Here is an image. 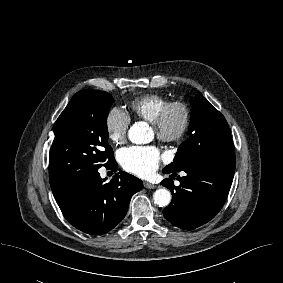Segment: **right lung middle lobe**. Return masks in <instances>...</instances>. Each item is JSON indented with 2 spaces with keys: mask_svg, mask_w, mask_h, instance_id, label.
Returning <instances> with one entry per match:
<instances>
[{
  "mask_svg": "<svg viewBox=\"0 0 283 283\" xmlns=\"http://www.w3.org/2000/svg\"><path fill=\"white\" fill-rule=\"evenodd\" d=\"M113 97L103 91L77 92L54 124L50 185L98 170L114 159L108 142L107 115Z\"/></svg>",
  "mask_w": 283,
  "mask_h": 283,
  "instance_id": "1",
  "label": "right lung middle lobe"
}]
</instances>
